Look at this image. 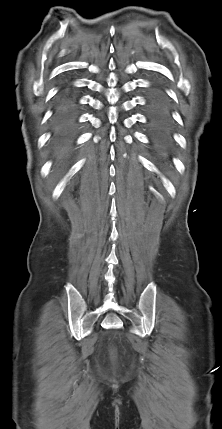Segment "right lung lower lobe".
Here are the masks:
<instances>
[{"label": "right lung lower lobe", "instance_id": "obj_1", "mask_svg": "<svg viewBox=\"0 0 222 429\" xmlns=\"http://www.w3.org/2000/svg\"><path fill=\"white\" fill-rule=\"evenodd\" d=\"M77 123V107L72 91L63 82L59 84V92L54 101L53 125L68 134L75 130Z\"/></svg>", "mask_w": 222, "mask_h": 429}]
</instances>
